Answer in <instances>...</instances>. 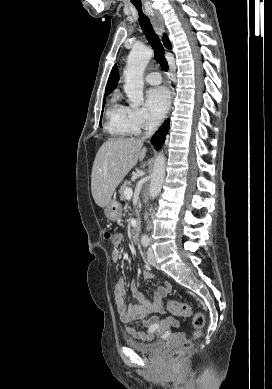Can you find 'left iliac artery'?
Wrapping results in <instances>:
<instances>
[{
  "label": "left iliac artery",
  "mask_w": 272,
  "mask_h": 389,
  "mask_svg": "<svg viewBox=\"0 0 272 389\" xmlns=\"http://www.w3.org/2000/svg\"><path fill=\"white\" fill-rule=\"evenodd\" d=\"M142 244H143V246H148L149 245V239L147 238V239L142 240Z\"/></svg>",
  "instance_id": "1"
}]
</instances>
